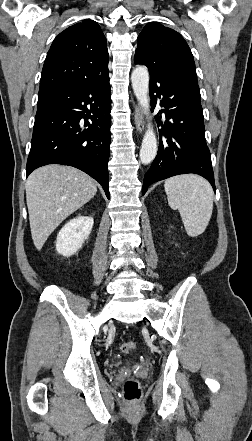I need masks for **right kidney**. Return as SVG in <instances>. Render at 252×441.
Masks as SVG:
<instances>
[{
	"instance_id": "obj_1",
	"label": "right kidney",
	"mask_w": 252,
	"mask_h": 441,
	"mask_svg": "<svg viewBox=\"0 0 252 441\" xmlns=\"http://www.w3.org/2000/svg\"><path fill=\"white\" fill-rule=\"evenodd\" d=\"M93 223L89 216H77L67 222L57 235V252L66 257L75 254L88 239Z\"/></svg>"
}]
</instances>
